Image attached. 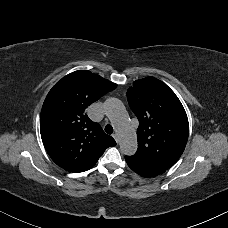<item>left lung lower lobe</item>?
Instances as JSON below:
<instances>
[{
  "label": "left lung lower lobe",
  "mask_w": 228,
  "mask_h": 228,
  "mask_svg": "<svg viewBox=\"0 0 228 228\" xmlns=\"http://www.w3.org/2000/svg\"><path fill=\"white\" fill-rule=\"evenodd\" d=\"M125 159H126L128 166L133 171H135L136 173H138L139 175H141L143 177L156 176V175H159V174L165 172V170L167 169V168H164L161 166H157V165L139 160L133 156H126Z\"/></svg>",
  "instance_id": "left-lung-lower-lobe-1"
}]
</instances>
